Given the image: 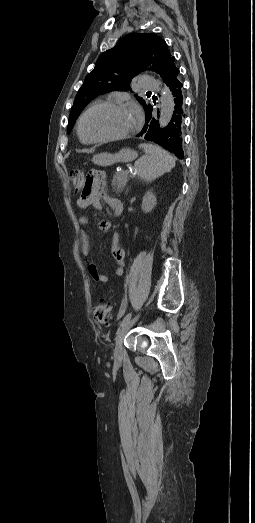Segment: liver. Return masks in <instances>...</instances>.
Here are the masks:
<instances>
[{
  "instance_id": "6515ba94",
  "label": "liver",
  "mask_w": 255,
  "mask_h": 523,
  "mask_svg": "<svg viewBox=\"0 0 255 523\" xmlns=\"http://www.w3.org/2000/svg\"><path fill=\"white\" fill-rule=\"evenodd\" d=\"M106 156H108V154H97V156H94L92 162H94V164H100V166H102V162H104ZM111 160H115V156H111Z\"/></svg>"
}]
</instances>
